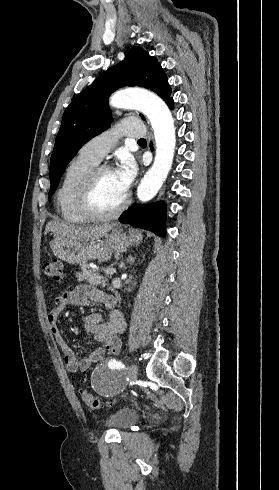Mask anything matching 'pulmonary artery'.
<instances>
[{
  "label": "pulmonary artery",
  "instance_id": "1",
  "mask_svg": "<svg viewBox=\"0 0 279 490\" xmlns=\"http://www.w3.org/2000/svg\"><path fill=\"white\" fill-rule=\"evenodd\" d=\"M146 124L140 122L139 117H124L122 122H111L107 135L100 134L90 138L81 147L79 154L94 164H98L116 143L113 137H119L120 131L132 137L133 140H142Z\"/></svg>",
  "mask_w": 279,
  "mask_h": 490
}]
</instances>
